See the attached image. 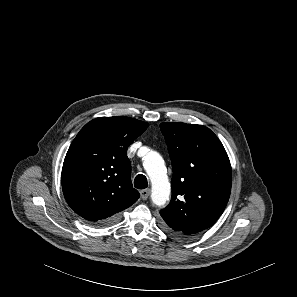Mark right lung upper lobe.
<instances>
[{
    "instance_id": "cb5924a9",
    "label": "right lung upper lobe",
    "mask_w": 297,
    "mask_h": 297,
    "mask_svg": "<svg viewBox=\"0 0 297 297\" xmlns=\"http://www.w3.org/2000/svg\"><path fill=\"white\" fill-rule=\"evenodd\" d=\"M148 126L116 116L93 119L80 130L62 168L64 197L78 215L98 223L137 201L127 148Z\"/></svg>"
}]
</instances>
